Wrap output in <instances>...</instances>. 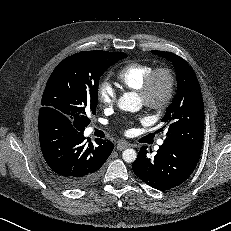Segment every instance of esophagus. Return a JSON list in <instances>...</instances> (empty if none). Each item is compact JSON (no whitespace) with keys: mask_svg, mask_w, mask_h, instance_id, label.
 <instances>
[{"mask_svg":"<svg viewBox=\"0 0 231 231\" xmlns=\"http://www.w3.org/2000/svg\"><path fill=\"white\" fill-rule=\"evenodd\" d=\"M129 145L126 142H119L116 146V149L122 151L126 149Z\"/></svg>","mask_w":231,"mask_h":231,"instance_id":"esophagus-1","label":"esophagus"}]
</instances>
